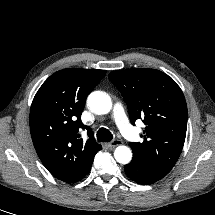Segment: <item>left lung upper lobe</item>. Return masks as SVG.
Listing matches in <instances>:
<instances>
[{"label": "left lung upper lobe", "mask_w": 215, "mask_h": 215, "mask_svg": "<svg viewBox=\"0 0 215 215\" xmlns=\"http://www.w3.org/2000/svg\"><path fill=\"white\" fill-rule=\"evenodd\" d=\"M111 82L121 92L135 125H146L142 143L129 145L133 159L169 173L177 162L186 137L187 105L182 90L165 73L154 69L115 70Z\"/></svg>", "instance_id": "1"}]
</instances>
